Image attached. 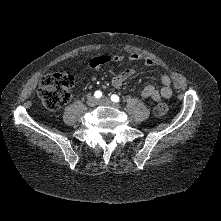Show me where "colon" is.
I'll use <instances>...</instances> for the list:
<instances>
[{"label":"colon","mask_w":221,"mask_h":221,"mask_svg":"<svg viewBox=\"0 0 221 221\" xmlns=\"http://www.w3.org/2000/svg\"><path fill=\"white\" fill-rule=\"evenodd\" d=\"M73 82V76L66 72L46 75L41 79L38 96L47 109L58 110L70 101V88ZM167 111L165 103H159L154 107V114L157 117H163Z\"/></svg>","instance_id":"obj_1"}]
</instances>
